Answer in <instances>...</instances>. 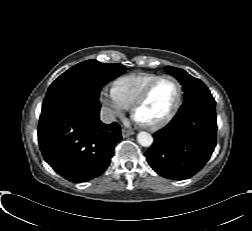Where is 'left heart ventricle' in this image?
Instances as JSON below:
<instances>
[{
    "label": "left heart ventricle",
    "instance_id": "1",
    "mask_svg": "<svg viewBox=\"0 0 252 231\" xmlns=\"http://www.w3.org/2000/svg\"><path fill=\"white\" fill-rule=\"evenodd\" d=\"M177 96V86L171 79L161 80L152 90L149 98L136 112L142 123H155L172 109Z\"/></svg>",
    "mask_w": 252,
    "mask_h": 231
}]
</instances>
